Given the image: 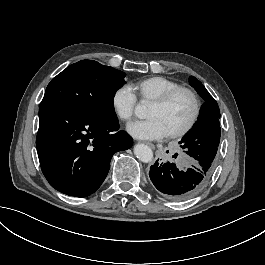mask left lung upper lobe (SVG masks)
I'll list each match as a JSON object with an SVG mask.
<instances>
[{
    "label": "left lung upper lobe",
    "instance_id": "1",
    "mask_svg": "<svg viewBox=\"0 0 265 265\" xmlns=\"http://www.w3.org/2000/svg\"><path fill=\"white\" fill-rule=\"evenodd\" d=\"M189 83L204 99L198 120L179 142L186 153L195 161L215 163L217 148L220 143V110L217 102L195 77H189Z\"/></svg>",
    "mask_w": 265,
    "mask_h": 265
}]
</instances>
